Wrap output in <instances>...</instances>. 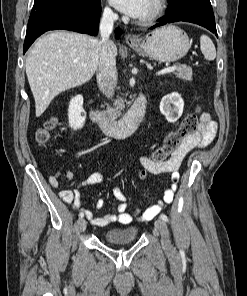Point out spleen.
<instances>
[{
	"label": "spleen",
	"mask_w": 247,
	"mask_h": 296,
	"mask_svg": "<svg viewBox=\"0 0 247 296\" xmlns=\"http://www.w3.org/2000/svg\"><path fill=\"white\" fill-rule=\"evenodd\" d=\"M200 49L206 60L212 61L216 58L215 46L207 35H201Z\"/></svg>",
	"instance_id": "obj_1"
}]
</instances>
